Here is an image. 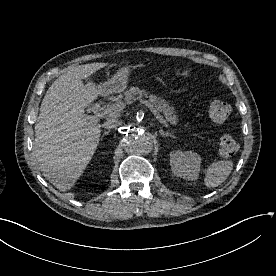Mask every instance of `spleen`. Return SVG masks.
<instances>
[{
	"mask_svg": "<svg viewBox=\"0 0 276 276\" xmlns=\"http://www.w3.org/2000/svg\"><path fill=\"white\" fill-rule=\"evenodd\" d=\"M233 169V162L231 160H221L211 163L208 167L204 183L207 188H214L222 184Z\"/></svg>",
	"mask_w": 276,
	"mask_h": 276,
	"instance_id": "spleen-1",
	"label": "spleen"
}]
</instances>
